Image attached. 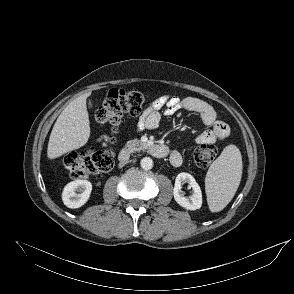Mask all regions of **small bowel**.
<instances>
[{"label":"small bowel","instance_id":"1","mask_svg":"<svg viewBox=\"0 0 294 294\" xmlns=\"http://www.w3.org/2000/svg\"><path fill=\"white\" fill-rule=\"evenodd\" d=\"M181 110L198 113L203 124L209 127L195 138L196 143H215L228 137V125L217 119V114L209 103L195 97L179 98L170 95L158 97L143 111L137 123V131L155 129L163 115H174ZM170 162L176 167L180 166L183 162L181 153L172 151Z\"/></svg>","mask_w":294,"mask_h":294}]
</instances>
